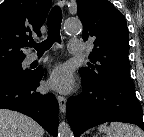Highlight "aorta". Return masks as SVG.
I'll return each instance as SVG.
<instances>
[{
	"label": "aorta",
	"mask_w": 144,
	"mask_h": 137,
	"mask_svg": "<svg viewBox=\"0 0 144 137\" xmlns=\"http://www.w3.org/2000/svg\"><path fill=\"white\" fill-rule=\"evenodd\" d=\"M82 25L79 20L76 19H67L64 22V31L67 33H76L80 31ZM58 137H73V132L70 126L62 121L58 126Z\"/></svg>",
	"instance_id": "762f6f07"
}]
</instances>
